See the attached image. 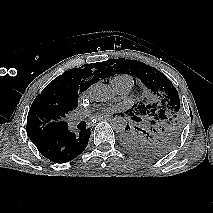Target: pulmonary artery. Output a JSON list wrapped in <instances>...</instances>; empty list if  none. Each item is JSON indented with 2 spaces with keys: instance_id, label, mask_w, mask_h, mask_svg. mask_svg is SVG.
<instances>
[{
  "instance_id": "pulmonary-artery-1",
  "label": "pulmonary artery",
  "mask_w": 213,
  "mask_h": 213,
  "mask_svg": "<svg viewBox=\"0 0 213 213\" xmlns=\"http://www.w3.org/2000/svg\"><path fill=\"white\" fill-rule=\"evenodd\" d=\"M111 85L117 93L127 94L131 90V88L133 86V82L131 80H127V79L122 80V81H116V80L112 79ZM86 114H87V111H82L78 115H74L71 118V123L77 124L79 121H81L83 119L84 116H86Z\"/></svg>"
}]
</instances>
